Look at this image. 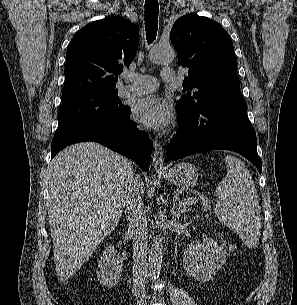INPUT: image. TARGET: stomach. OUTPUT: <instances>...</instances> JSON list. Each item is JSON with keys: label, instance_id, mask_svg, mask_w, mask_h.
Segmentation results:
<instances>
[{"label": "stomach", "instance_id": "1", "mask_svg": "<svg viewBox=\"0 0 297 305\" xmlns=\"http://www.w3.org/2000/svg\"><path fill=\"white\" fill-rule=\"evenodd\" d=\"M160 173L168 182L179 187H192L198 180V170L187 162L178 163Z\"/></svg>", "mask_w": 297, "mask_h": 305}]
</instances>
